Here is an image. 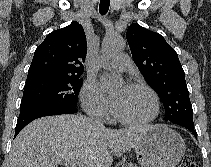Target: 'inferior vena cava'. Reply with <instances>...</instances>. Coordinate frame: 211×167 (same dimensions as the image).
Returning a JSON list of instances; mask_svg holds the SVG:
<instances>
[{
  "mask_svg": "<svg viewBox=\"0 0 211 167\" xmlns=\"http://www.w3.org/2000/svg\"><path fill=\"white\" fill-rule=\"evenodd\" d=\"M91 120H92V124L94 126L99 127V128L103 127V123H102L101 119L96 117V118H92Z\"/></svg>",
  "mask_w": 211,
  "mask_h": 167,
  "instance_id": "inferior-vena-cava-1",
  "label": "inferior vena cava"
}]
</instances>
